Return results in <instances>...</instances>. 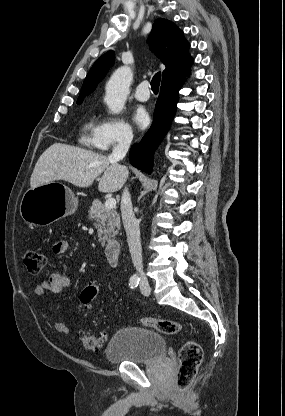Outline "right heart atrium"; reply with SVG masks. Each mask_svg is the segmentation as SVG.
<instances>
[{
	"label": "right heart atrium",
	"instance_id": "right-heart-atrium-1",
	"mask_svg": "<svg viewBox=\"0 0 285 416\" xmlns=\"http://www.w3.org/2000/svg\"><path fill=\"white\" fill-rule=\"evenodd\" d=\"M130 137L131 129L126 122L102 112L95 123L89 145L98 151L105 152L127 143Z\"/></svg>",
	"mask_w": 285,
	"mask_h": 416
}]
</instances>
